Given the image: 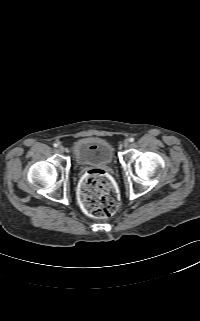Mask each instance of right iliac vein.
<instances>
[{
  "mask_svg": "<svg viewBox=\"0 0 200 321\" xmlns=\"http://www.w3.org/2000/svg\"><path fill=\"white\" fill-rule=\"evenodd\" d=\"M58 151H59L60 153H63V152L65 151V148H64L62 145H60V146L58 147Z\"/></svg>",
  "mask_w": 200,
  "mask_h": 321,
  "instance_id": "63e3f726",
  "label": "right iliac vein"
}]
</instances>
